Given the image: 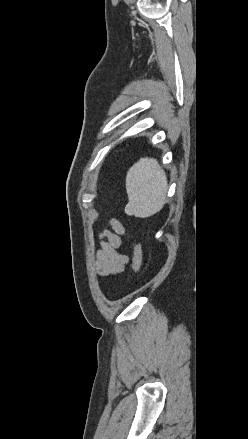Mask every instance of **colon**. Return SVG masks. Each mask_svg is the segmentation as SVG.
<instances>
[{
	"mask_svg": "<svg viewBox=\"0 0 248 439\" xmlns=\"http://www.w3.org/2000/svg\"><path fill=\"white\" fill-rule=\"evenodd\" d=\"M143 251L140 242L137 239L133 241V269L137 274L142 265Z\"/></svg>",
	"mask_w": 248,
	"mask_h": 439,
	"instance_id": "1",
	"label": "colon"
}]
</instances>
